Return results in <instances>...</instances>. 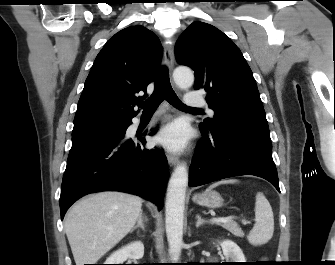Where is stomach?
<instances>
[{"label":"stomach","mask_w":335,"mask_h":265,"mask_svg":"<svg viewBox=\"0 0 335 265\" xmlns=\"http://www.w3.org/2000/svg\"><path fill=\"white\" fill-rule=\"evenodd\" d=\"M193 201L201 206L218 208L223 205V199L218 192L207 190L203 194L193 196Z\"/></svg>","instance_id":"0dacf381"}]
</instances>
